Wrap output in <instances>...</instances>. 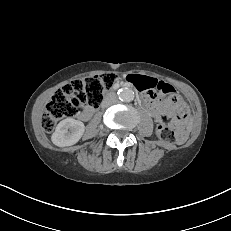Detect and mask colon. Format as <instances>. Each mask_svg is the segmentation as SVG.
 <instances>
[{"label":"colon","mask_w":231,"mask_h":231,"mask_svg":"<svg viewBox=\"0 0 231 231\" xmlns=\"http://www.w3.org/2000/svg\"><path fill=\"white\" fill-rule=\"evenodd\" d=\"M118 77L114 73L93 75L84 79H76L59 89L46 106L42 117V128L51 132L56 124L64 119L74 117L82 108H96L102 102L105 94L113 87ZM135 87L141 91H157L169 95L174 88L165 82H159L155 87H148L145 80L133 78ZM187 109L178 106L174 111L176 121L183 123L187 119ZM158 136L168 143L182 142L187 136L183 126L166 119L158 126Z\"/></svg>","instance_id":"5ec220e1"}]
</instances>
